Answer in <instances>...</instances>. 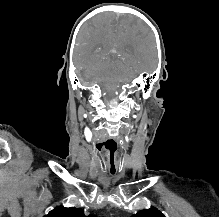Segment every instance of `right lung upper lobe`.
Masks as SVG:
<instances>
[{"mask_svg":"<svg viewBox=\"0 0 219 217\" xmlns=\"http://www.w3.org/2000/svg\"><path fill=\"white\" fill-rule=\"evenodd\" d=\"M44 217H95L94 215L85 216L80 208L58 206Z\"/></svg>","mask_w":219,"mask_h":217,"instance_id":"right-lung-upper-lobe-1","label":"right lung upper lobe"}]
</instances>
